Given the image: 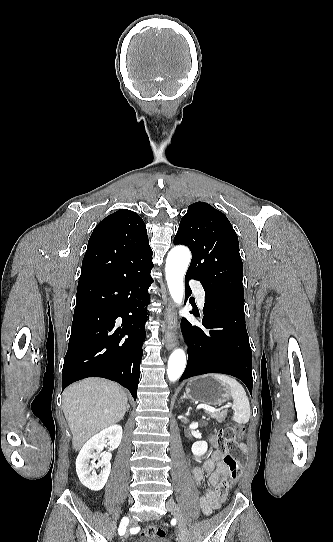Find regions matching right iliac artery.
<instances>
[{
	"instance_id": "right-iliac-artery-1",
	"label": "right iliac artery",
	"mask_w": 333,
	"mask_h": 542,
	"mask_svg": "<svg viewBox=\"0 0 333 542\" xmlns=\"http://www.w3.org/2000/svg\"><path fill=\"white\" fill-rule=\"evenodd\" d=\"M129 520L128 518L124 517L122 520H121V523H120V527H119V534L120 535H124L125 531H126V526L128 524Z\"/></svg>"
}]
</instances>
